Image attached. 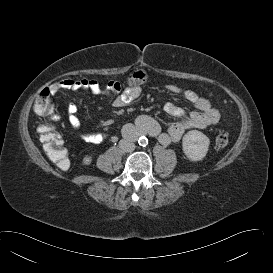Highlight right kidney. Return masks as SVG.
Wrapping results in <instances>:
<instances>
[{
	"mask_svg": "<svg viewBox=\"0 0 273 273\" xmlns=\"http://www.w3.org/2000/svg\"><path fill=\"white\" fill-rule=\"evenodd\" d=\"M91 162V158L90 157H85V163L89 164Z\"/></svg>",
	"mask_w": 273,
	"mask_h": 273,
	"instance_id": "right-kidney-1",
	"label": "right kidney"
}]
</instances>
